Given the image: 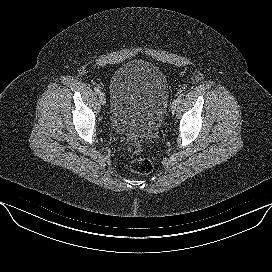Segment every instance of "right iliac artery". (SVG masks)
I'll list each match as a JSON object with an SVG mask.
<instances>
[{
	"label": "right iliac artery",
	"instance_id": "82829eb1",
	"mask_svg": "<svg viewBox=\"0 0 272 272\" xmlns=\"http://www.w3.org/2000/svg\"><path fill=\"white\" fill-rule=\"evenodd\" d=\"M94 90H95V92H96L97 94H100V93H101V90H100L99 87H95Z\"/></svg>",
	"mask_w": 272,
	"mask_h": 272
}]
</instances>
